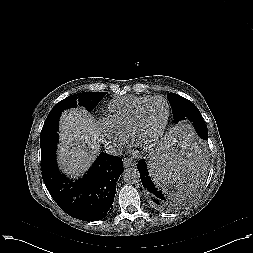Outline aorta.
<instances>
[{"label": "aorta", "mask_w": 253, "mask_h": 253, "mask_svg": "<svg viewBox=\"0 0 253 253\" xmlns=\"http://www.w3.org/2000/svg\"><path fill=\"white\" fill-rule=\"evenodd\" d=\"M140 179L139 171L135 167H130L124 170L123 180L128 184L137 183Z\"/></svg>", "instance_id": "762f6f07"}]
</instances>
